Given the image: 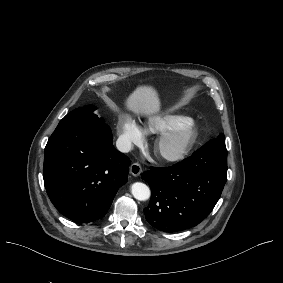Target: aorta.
<instances>
[{
  "label": "aorta",
  "mask_w": 283,
  "mask_h": 283,
  "mask_svg": "<svg viewBox=\"0 0 283 283\" xmlns=\"http://www.w3.org/2000/svg\"><path fill=\"white\" fill-rule=\"evenodd\" d=\"M131 193L135 199L145 201L150 198L151 191L149 187L141 182L133 183L131 186Z\"/></svg>",
  "instance_id": "aorta-1"
}]
</instances>
